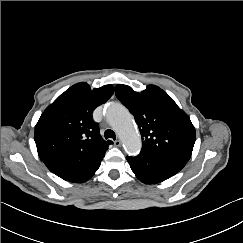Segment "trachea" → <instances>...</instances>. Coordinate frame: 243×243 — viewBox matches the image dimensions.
<instances>
[{"mask_svg":"<svg viewBox=\"0 0 243 243\" xmlns=\"http://www.w3.org/2000/svg\"><path fill=\"white\" fill-rule=\"evenodd\" d=\"M104 137H105L106 139H108V138H112V139H114V140L116 139V135H115L114 131L111 130V129H108V130L105 131V133H104Z\"/></svg>","mask_w":243,"mask_h":243,"instance_id":"trachea-1","label":"trachea"}]
</instances>
